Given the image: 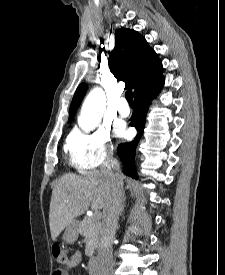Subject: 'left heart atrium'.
<instances>
[{
	"mask_svg": "<svg viewBox=\"0 0 225 275\" xmlns=\"http://www.w3.org/2000/svg\"><path fill=\"white\" fill-rule=\"evenodd\" d=\"M117 133H118V134H123V133H124L123 128H117Z\"/></svg>",
	"mask_w": 225,
	"mask_h": 275,
	"instance_id": "obj_1",
	"label": "left heart atrium"
}]
</instances>
